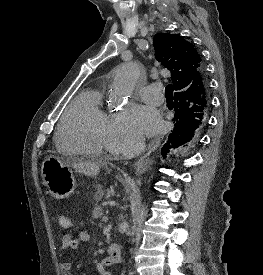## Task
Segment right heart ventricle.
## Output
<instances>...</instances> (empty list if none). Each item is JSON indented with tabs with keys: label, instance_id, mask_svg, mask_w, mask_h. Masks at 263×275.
Returning a JSON list of instances; mask_svg holds the SVG:
<instances>
[{
	"label": "right heart ventricle",
	"instance_id": "e07e8e85",
	"mask_svg": "<svg viewBox=\"0 0 263 275\" xmlns=\"http://www.w3.org/2000/svg\"><path fill=\"white\" fill-rule=\"evenodd\" d=\"M110 115L102 106V92L88 88L65 110L56 133L57 149L70 156H98L107 147Z\"/></svg>",
	"mask_w": 263,
	"mask_h": 275
}]
</instances>
